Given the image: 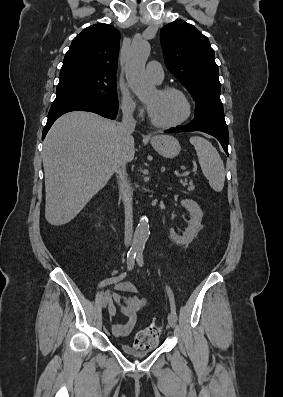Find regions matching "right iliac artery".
Returning <instances> with one entry per match:
<instances>
[{
	"label": "right iliac artery",
	"mask_w": 283,
	"mask_h": 397,
	"mask_svg": "<svg viewBox=\"0 0 283 397\" xmlns=\"http://www.w3.org/2000/svg\"><path fill=\"white\" fill-rule=\"evenodd\" d=\"M136 254H137V251L132 250V249H130V251L127 254V269L129 271L132 270L134 267ZM125 276H126V272L122 273L118 277L109 278L103 282L102 286L112 284V283H117V282L121 281L123 278H125Z\"/></svg>",
	"instance_id": "1"
}]
</instances>
